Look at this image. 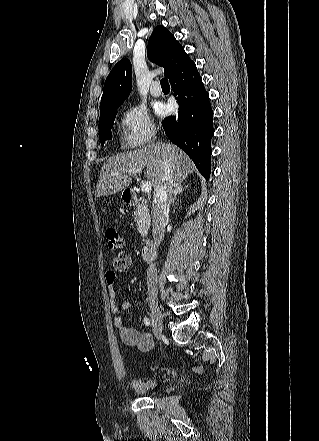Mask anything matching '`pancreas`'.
<instances>
[{
  "label": "pancreas",
  "instance_id": "pancreas-1",
  "mask_svg": "<svg viewBox=\"0 0 319 441\" xmlns=\"http://www.w3.org/2000/svg\"><path fill=\"white\" fill-rule=\"evenodd\" d=\"M134 220L137 223L138 231L143 238L148 234L150 228V214L147 206L142 202L134 210Z\"/></svg>",
  "mask_w": 319,
  "mask_h": 441
}]
</instances>
